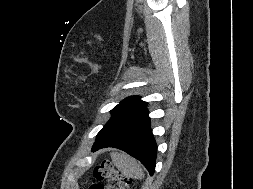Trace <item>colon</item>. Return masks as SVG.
<instances>
[{"mask_svg": "<svg viewBox=\"0 0 253 189\" xmlns=\"http://www.w3.org/2000/svg\"><path fill=\"white\" fill-rule=\"evenodd\" d=\"M94 177L96 181L89 189H129L131 184V179L114 169L108 161H103L94 168ZM103 181H106L107 185H103Z\"/></svg>", "mask_w": 253, "mask_h": 189, "instance_id": "colon-1", "label": "colon"}]
</instances>
